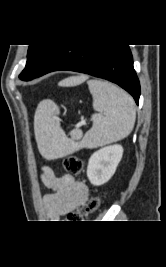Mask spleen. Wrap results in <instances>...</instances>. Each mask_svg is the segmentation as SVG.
Returning a JSON list of instances; mask_svg holds the SVG:
<instances>
[{
    "label": "spleen",
    "mask_w": 166,
    "mask_h": 267,
    "mask_svg": "<svg viewBox=\"0 0 166 267\" xmlns=\"http://www.w3.org/2000/svg\"><path fill=\"white\" fill-rule=\"evenodd\" d=\"M93 107V126L80 142L69 139L55 116L57 108L49 105L45 113H38L35 136L40 153L47 159L71 154L81 148H96L127 137L135 123L133 98L119 87L101 80H89Z\"/></svg>",
    "instance_id": "1"
}]
</instances>
